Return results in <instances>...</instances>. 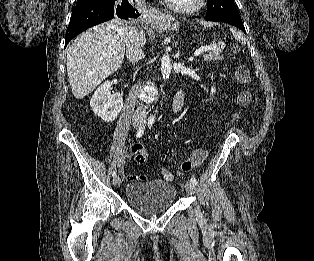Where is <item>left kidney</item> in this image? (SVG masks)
Returning <instances> with one entry per match:
<instances>
[{
	"label": "left kidney",
	"mask_w": 314,
	"mask_h": 261,
	"mask_svg": "<svg viewBox=\"0 0 314 261\" xmlns=\"http://www.w3.org/2000/svg\"><path fill=\"white\" fill-rule=\"evenodd\" d=\"M211 80H213V76H211ZM216 92V89L213 85V87L211 88V94H214Z\"/></svg>",
	"instance_id": "5707ae66"
}]
</instances>
